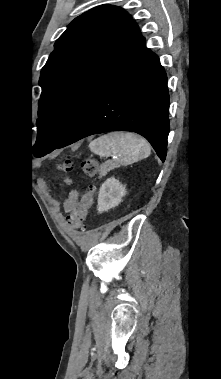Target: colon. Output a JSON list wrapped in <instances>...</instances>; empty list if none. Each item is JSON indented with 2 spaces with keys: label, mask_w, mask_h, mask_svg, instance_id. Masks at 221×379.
<instances>
[{
  "label": "colon",
  "mask_w": 221,
  "mask_h": 379,
  "mask_svg": "<svg viewBox=\"0 0 221 379\" xmlns=\"http://www.w3.org/2000/svg\"><path fill=\"white\" fill-rule=\"evenodd\" d=\"M60 170L65 173L64 182L70 183L68 174L72 170V162L69 157H66L59 166ZM81 169L83 173L91 178H98L101 176V171L97 162L94 159L87 158L82 161ZM95 187L90 185L87 191L83 194L81 199L76 203L73 210L68 214L67 220L70 226L75 229H83L85 226L86 218L89 209L93 203Z\"/></svg>",
  "instance_id": "5ec220e1"
}]
</instances>
